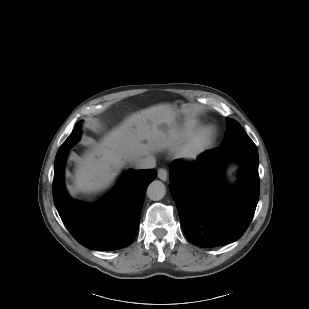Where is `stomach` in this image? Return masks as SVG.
<instances>
[{
  "label": "stomach",
  "instance_id": "stomach-1",
  "mask_svg": "<svg viewBox=\"0 0 309 309\" xmlns=\"http://www.w3.org/2000/svg\"><path fill=\"white\" fill-rule=\"evenodd\" d=\"M176 108H177L178 112L185 114L189 110V105L180 103V104H177Z\"/></svg>",
  "mask_w": 309,
  "mask_h": 309
}]
</instances>
